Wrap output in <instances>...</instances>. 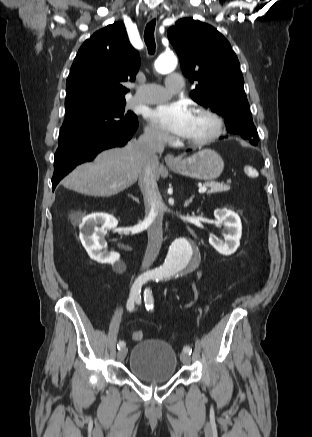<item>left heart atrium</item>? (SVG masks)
<instances>
[{
    "mask_svg": "<svg viewBox=\"0 0 312 437\" xmlns=\"http://www.w3.org/2000/svg\"><path fill=\"white\" fill-rule=\"evenodd\" d=\"M193 112L181 102L164 103L153 109L149 118L161 129L179 137L190 130Z\"/></svg>",
    "mask_w": 312,
    "mask_h": 437,
    "instance_id": "1",
    "label": "left heart atrium"
}]
</instances>
